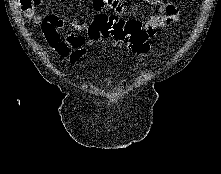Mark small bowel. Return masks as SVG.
Instances as JSON below:
<instances>
[{"instance_id":"1","label":"small bowel","mask_w":221,"mask_h":174,"mask_svg":"<svg viewBox=\"0 0 221 174\" xmlns=\"http://www.w3.org/2000/svg\"><path fill=\"white\" fill-rule=\"evenodd\" d=\"M145 1L151 5L160 6L159 11L150 13L144 22L143 26L149 38L155 35L158 28L171 26L178 21V10L173 3H166L163 0ZM107 8L118 14L126 11V7L121 0H93L95 17L99 14H105L104 11ZM34 22L41 28L49 45L61 57H65L71 63H75L85 55V38L83 35L66 31L65 41L60 40L59 29H63V21L61 19L55 16L43 17L39 12H36ZM73 27L78 32H85L89 25L74 21ZM70 48L74 50L71 51Z\"/></svg>"}]
</instances>
